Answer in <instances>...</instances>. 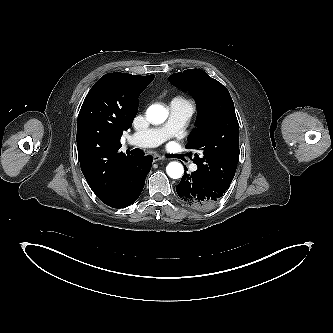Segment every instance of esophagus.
I'll list each match as a JSON object with an SVG mask.
<instances>
[{
    "mask_svg": "<svg viewBox=\"0 0 333 333\" xmlns=\"http://www.w3.org/2000/svg\"><path fill=\"white\" fill-rule=\"evenodd\" d=\"M160 160H164V157H162V156H160V155H158V154H155V155L153 156V161H154V162H157V161H160Z\"/></svg>",
    "mask_w": 333,
    "mask_h": 333,
    "instance_id": "1",
    "label": "esophagus"
}]
</instances>
